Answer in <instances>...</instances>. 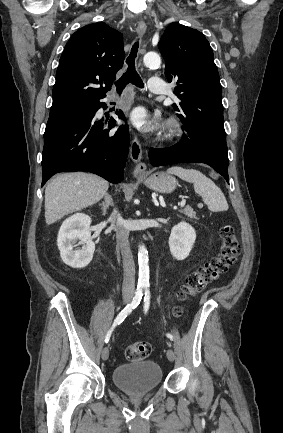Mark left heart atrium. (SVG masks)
Wrapping results in <instances>:
<instances>
[{"label":"left heart atrium","instance_id":"1","mask_svg":"<svg viewBox=\"0 0 283 433\" xmlns=\"http://www.w3.org/2000/svg\"><path fill=\"white\" fill-rule=\"evenodd\" d=\"M131 121L133 125L145 135L154 134L159 127V123L156 120L148 118L143 107H137L132 111Z\"/></svg>","mask_w":283,"mask_h":433}]
</instances>
